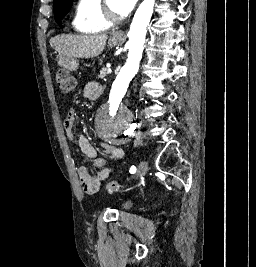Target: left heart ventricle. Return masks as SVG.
Here are the masks:
<instances>
[{"instance_id": "left-heart-ventricle-1", "label": "left heart ventricle", "mask_w": 256, "mask_h": 267, "mask_svg": "<svg viewBox=\"0 0 256 267\" xmlns=\"http://www.w3.org/2000/svg\"><path fill=\"white\" fill-rule=\"evenodd\" d=\"M110 6H111V11H112V19L111 21L108 23L107 26H111L115 23V21L117 20L118 18V15H117V7H116V3L114 1H111L110 2ZM106 26V27H107Z\"/></svg>"}]
</instances>
